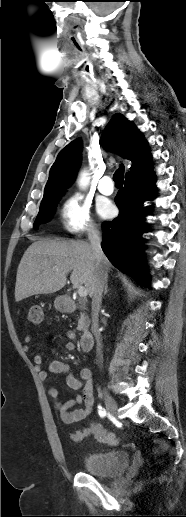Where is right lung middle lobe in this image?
I'll return each instance as SVG.
<instances>
[{
	"label": "right lung middle lobe",
	"instance_id": "right-lung-middle-lobe-1",
	"mask_svg": "<svg viewBox=\"0 0 186 517\" xmlns=\"http://www.w3.org/2000/svg\"><path fill=\"white\" fill-rule=\"evenodd\" d=\"M61 194L50 195L47 198H44L40 205L39 213L34 222V228H37L38 225L43 224L50 220L53 211L55 209L56 203L59 198L62 196Z\"/></svg>",
	"mask_w": 186,
	"mask_h": 517
}]
</instances>
